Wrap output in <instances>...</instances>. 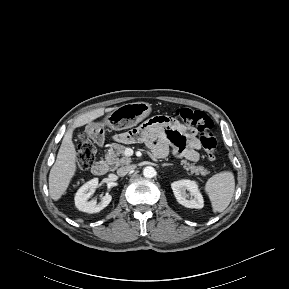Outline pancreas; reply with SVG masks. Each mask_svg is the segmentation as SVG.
I'll list each match as a JSON object with an SVG mask.
<instances>
[{
  "mask_svg": "<svg viewBox=\"0 0 289 289\" xmlns=\"http://www.w3.org/2000/svg\"><path fill=\"white\" fill-rule=\"evenodd\" d=\"M126 149L127 147H125L124 145L117 143L112 144V147L108 150V153L106 154L107 163L114 166V168L130 164L131 159L124 155ZM181 165H183V168L186 171H190L191 174L194 173L196 175H206L209 173L208 170L204 169L203 167L195 166V164L189 163L187 160H181Z\"/></svg>",
  "mask_w": 289,
  "mask_h": 289,
  "instance_id": "cf45deb5",
  "label": "pancreas"
}]
</instances>
